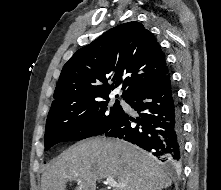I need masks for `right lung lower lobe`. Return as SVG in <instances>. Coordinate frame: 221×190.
<instances>
[{"instance_id": "1", "label": "right lung lower lobe", "mask_w": 221, "mask_h": 190, "mask_svg": "<svg viewBox=\"0 0 221 190\" xmlns=\"http://www.w3.org/2000/svg\"><path fill=\"white\" fill-rule=\"evenodd\" d=\"M126 102L139 116L133 118L123 111L120 120L104 134L136 144L166 165L178 167L183 153L182 122L170 74L137 90Z\"/></svg>"}]
</instances>
